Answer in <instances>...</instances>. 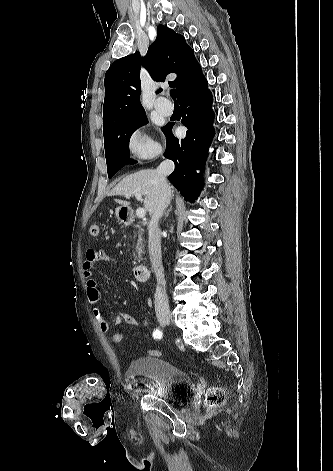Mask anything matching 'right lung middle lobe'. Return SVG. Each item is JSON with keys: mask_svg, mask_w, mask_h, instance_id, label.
<instances>
[{"mask_svg": "<svg viewBox=\"0 0 333 471\" xmlns=\"http://www.w3.org/2000/svg\"><path fill=\"white\" fill-rule=\"evenodd\" d=\"M146 123L147 117L144 112L129 120L116 123L103 132L109 178L126 164L136 163L129 159V140L133 132ZM163 129L164 127L162 131Z\"/></svg>", "mask_w": 333, "mask_h": 471, "instance_id": "1", "label": "right lung middle lobe"}]
</instances>
